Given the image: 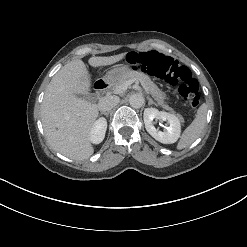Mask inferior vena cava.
<instances>
[{
	"mask_svg": "<svg viewBox=\"0 0 247 247\" xmlns=\"http://www.w3.org/2000/svg\"><path fill=\"white\" fill-rule=\"evenodd\" d=\"M119 102H120V99L117 96H105L99 100L98 109L101 112H109Z\"/></svg>",
	"mask_w": 247,
	"mask_h": 247,
	"instance_id": "inferior-vena-cava-1",
	"label": "inferior vena cava"
}]
</instances>
